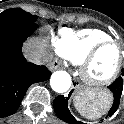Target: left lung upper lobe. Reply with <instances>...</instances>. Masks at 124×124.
I'll use <instances>...</instances> for the list:
<instances>
[{
    "mask_svg": "<svg viewBox=\"0 0 124 124\" xmlns=\"http://www.w3.org/2000/svg\"><path fill=\"white\" fill-rule=\"evenodd\" d=\"M122 76H124V71L122 70Z\"/></svg>",
    "mask_w": 124,
    "mask_h": 124,
    "instance_id": "left-lung-upper-lobe-1",
    "label": "left lung upper lobe"
}]
</instances>
